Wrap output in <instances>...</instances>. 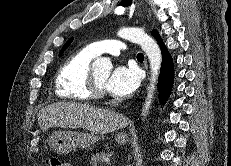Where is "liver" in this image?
<instances>
[{
    "instance_id": "1",
    "label": "liver",
    "mask_w": 231,
    "mask_h": 166,
    "mask_svg": "<svg viewBox=\"0 0 231 166\" xmlns=\"http://www.w3.org/2000/svg\"><path fill=\"white\" fill-rule=\"evenodd\" d=\"M38 123L43 132L61 127L84 128L95 134H106L126 126L128 119L120 113L89 104L59 102L42 108L38 113Z\"/></svg>"
}]
</instances>
